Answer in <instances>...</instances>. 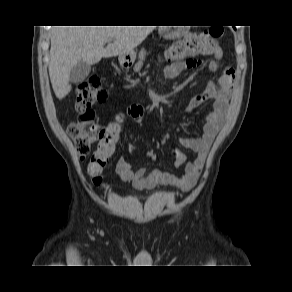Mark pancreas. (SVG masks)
<instances>
[{"label":"pancreas","mask_w":292,"mask_h":292,"mask_svg":"<svg viewBox=\"0 0 292 292\" xmlns=\"http://www.w3.org/2000/svg\"><path fill=\"white\" fill-rule=\"evenodd\" d=\"M146 52L142 50L139 54V61L136 63L134 70L139 71L143 65V61L145 59Z\"/></svg>","instance_id":"1"}]
</instances>
